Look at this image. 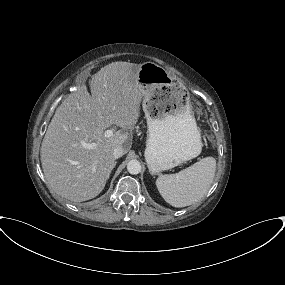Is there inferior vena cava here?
<instances>
[{"mask_svg":"<svg viewBox=\"0 0 285 285\" xmlns=\"http://www.w3.org/2000/svg\"><path fill=\"white\" fill-rule=\"evenodd\" d=\"M125 154V151L122 147H116L113 151V157L115 159L122 157Z\"/></svg>","mask_w":285,"mask_h":285,"instance_id":"602c4592","label":"inferior vena cava"}]
</instances>
